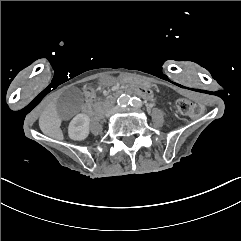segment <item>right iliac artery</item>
I'll return each mask as SVG.
<instances>
[{
    "mask_svg": "<svg viewBox=\"0 0 241 241\" xmlns=\"http://www.w3.org/2000/svg\"><path fill=\"white\" fill-rule=\"evenodd\" d=\"M130 102H131V98L129 96H123L117 100L118 105L121 107L128 106Z\"/></svg>",
    "mask_w": 241,
    "mask_h": 241,
    "instance_id": "right-iliac-artery-1",
    "label": "right iliac artery"
}]
</instances>
